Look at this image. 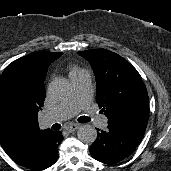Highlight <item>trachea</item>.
Here are the masks:
<instances>
[{"instance_id": "trachea-1", "label": "trachea", "mask_w": 171, "mask_h": 171, "mask_svg": "<svg viewBox=\"0 0 171 171\" xmlns=\"http://www.w3.org/2000/svg\"><path fill=\"white\" fill-rule=\"evenodd\" d=\"M78 121H79L80 123H86V122L91 121V118H90V117H87V116H81V117L78 119ZM60 128H61V125L58 124V123H55V124L52 125V129H54V130H59Z\"/></svg>"}]
</instances>
